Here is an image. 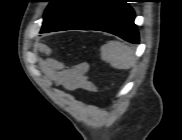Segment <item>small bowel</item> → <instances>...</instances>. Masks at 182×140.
Instances as JSON below:
<instances>
[{"label":"small bowel","mask_w":182,"mask_h":140,"mask_svg":"<svg viewBox=\"0 0 182 140\" xmlns=\"http://www.w3.org/2000/svg\"><path fill=\"white\" fill-rule=\"evenodd\" d=\"M49 77L54 81L55 85L61 86L69 91L76 89L95 90L94 84L87 77V65L85 64L66 70H53L49 73Z\"/></svg>","instance_id":"c3829d8e"}]
</instances>
